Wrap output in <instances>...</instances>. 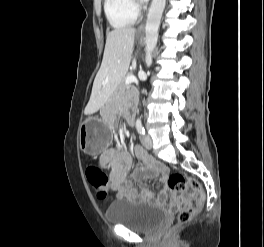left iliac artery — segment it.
Returning <instances> with one entry per match:
<instances>
[{
  "mask_svg": "<svg viewBox=\"0 0 264 247\" xmlns=\"http://www.w3.org/2000/svg\"><path fill=\"white\" fill-rule=\"evenodd\" d=\"M136 129L140 135H145V129L143 127L142 121L139 119L136 121Z\"/></svg>",
  "mask_w": 264,
  "mask_h": 247,
  "instance_id": "left-iliac-artery-1",
  "label": "left iliac artery"
}]
</instances>
